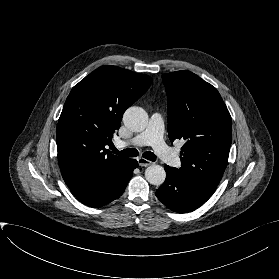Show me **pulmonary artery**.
I'll return each mask as SVG.
<instances>
[{"label": "pulmonary artery", "mask_w": 279, "mask_h": 279, "mask_svg": "<svg viewBox=\"0 0 279 279\" xmlns=\"http://www.w3.org/2000/svg\"><path fill=\"white\" fill-rule=\"evenodd\" d=\"M164 118L160 113H153L149 120L147 128L132 138L124 142V145L131 146H151L156 154L168 165L180 167V157L172 152L163 140Z\"/></svg>", "instance_id": "pulmonary-artery-1"}]
</instances>
